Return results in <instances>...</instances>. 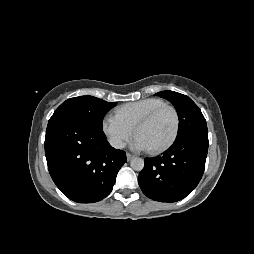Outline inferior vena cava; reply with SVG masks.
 Returning <instances> with one entry per match:
<instances>
[{
	"mask_svg": "<svg viewBox=\"0 0 254 254\" xmlns=\"http://www.w3.org/2000/svg\"><path fill=\"white\" fill-rule=\"evenodd\" d=\"M110 144H111L114 148H116V149H122V148L125 147V143L122 142V141L119 140V139H112V140H110Z\"/></svg>",
	"mask_w": 254,
	"mask_h": 254,
	"instance_id": "602c4592",
	"label": "inferior vena cava"
}]
</instances>
